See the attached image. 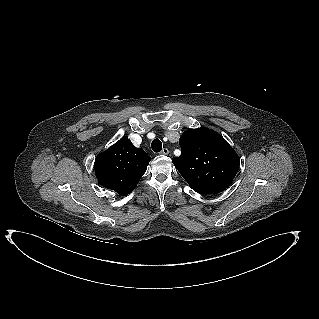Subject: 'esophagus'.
I'll use <instances>...</instances> for the list:
<instances>
[{"label": "esophagus", "mask_w": 319, "mask_h": 319, "mask_svg": "<svg viewBox=\"0 0 319 319\" xmlns=\"http://www.w3.org/2000/svg\"><path fill=\"white\" fill-rule=\"evenodd\" d=\"M161 154H163V155H168V154H169V150H168L167 148H163V149L161 150Z\"/></svg>", "instance_id": "esophagus-1"}]
</instances>
